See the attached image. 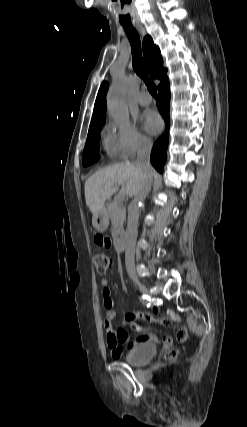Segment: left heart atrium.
Masks as SVG:
<instances>
[{
	"instance_id": "39dd6f15",
	"label": "left heart atrium",
	"mask_w": 247,
	"mask_h": 427,
	"mask_svg": "<svg viewBox=\"0 0 247 427\" xmlns=\"http://www.w3.org/2000/svg\"><path fill=\"white\" fill-rule=\"evenodd\" d=\"M143 123L145 129L151 134H157L162 129V120L155 112L149 111L144 115Z\"/></svg>"
}]
</instances>
